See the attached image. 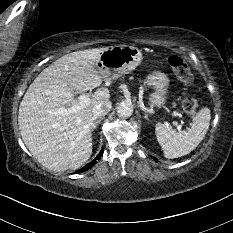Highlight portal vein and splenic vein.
I'll return each instance as SVG.
<instances>
[{
  "instance_id": "18ae733b",
  "label": "portal vein and splenic vein",
  "mask_w": 233,
  "mask_h": 233,
  "mask_svg": "<svg viewBox=\"0 0 233 233\" xmlns=\"http://www.w3.org/2000/svg\"><path fill=\"white\" fill-rule=\"evenodd\" d=\"M78 99H79V104H80V105L89 104V102H90V98H89L87 95H84V94L80 95V96L78 97ZM79 108H80V106L77 105V106H74V107L65 109L64 111H60V112H58V113L73 112V111H76V110L79 109ZM173 124H174L175 126H177V129H178V130H181V125H180V124H178L176 121H174Z\"/></svg>"
}]
</instances>
